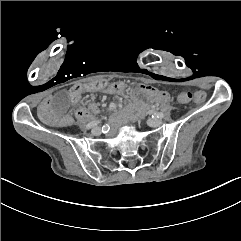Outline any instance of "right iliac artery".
Here are the masks:
<instances>
[{"label":"right iliac artery","instance_id":"1","mask_svg":"<svg viewBox=\"0 0 241 241\" xmlns=\"http://www.w3.org/2000/svg\"><path fill=\"white\" fill-rule=\"evenodd\" d=\"M99 123H100V120H94V121L90 122L87 127L92 128V127H95Z\"/></svg>","mask_w":241,"mask_h":241}]
</instances>
